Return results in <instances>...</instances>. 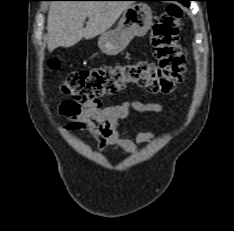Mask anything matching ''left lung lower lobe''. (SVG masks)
Masks as SVG:
<instances>
[{
    "label": "left lung lower lobe",
    "instance_id": "left-lung-lower-lobe-1",
    "mask_svg": "<svg viewBox=\"0 0 234 231\" xmlns=\"http://www.w3.org/2000/svg\"><path fill=\"white\" fill-rule=\"evenodd\" d=\"M143 1H158V0H143ZM179 1L180 3L184 4L185 6H189V1H183V0H176Z\"/></svg>",
    "mask_w": 234,
    "mask_h": 231
}]
</instances>
